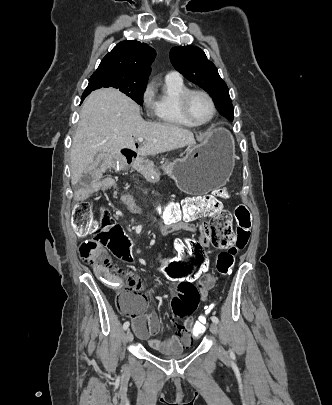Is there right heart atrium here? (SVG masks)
I'll list each match as a JSON object with an SVG mask.
<instances>
[{
    "label": "right heart atrium",
    "mask_w": 332,
    "mask_h": 405,
    "mask_svg": "<svg viewBox=\"0 0 332 405\" xmlns=\"http://www.w3.org/2000/svg\"><path fill=\"white\" fill-rule=\"evenodd\" d=\"M142 103L148 111H151L153 106V96L152 89L150 86H147L141 96Z\"/></svg>",
    "instance_id": "right-heart-atrium-1"
}]
</instances>
